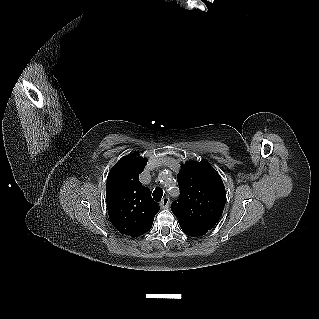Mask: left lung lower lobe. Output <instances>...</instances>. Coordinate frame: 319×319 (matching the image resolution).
Returning <instances> with one entry per match:
<instances>
[{
	"label": "left lung lower lobe",
	"instance_id": "left-lung-lower-lobe-1",
	"mask_svg": "<svg viewBox=\"0 0 319 319\" xmlns=\"http://www.w3.org/2000/svg\"><path fill=\"white\" fill-rule=\"evenodd\" d=\"M180 227L182 228V230L184 231L185 234H187L188 236H191V237L202 236L208 232V231H204V230L193 229V228H190L188 226H184L182 224H180Z\"/></svg>",
	"mask_w": 319,
	"mask_h": 319
}]
</instances>
